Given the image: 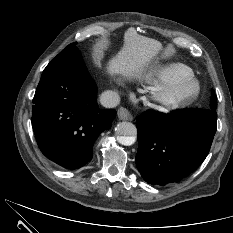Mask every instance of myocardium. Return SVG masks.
<instances>
[{
  "instance_id": "myocardium-1",
  "label": "myocardium",
  "mask_w": 233,
  "mask_h": 233,
  "mask_svg": "<svg viewBox=\"0 0 233 233\" xmlns=\"http://www.w3.org/2000/svg\"><path fill=\"white\" fill-rule=\"evenodd\" d=\"M200 92L199 82L193 77H186L169 85L157 86L151 97L158 108L178 111L194 103Z\"/></svg>"
}]
</instances>
